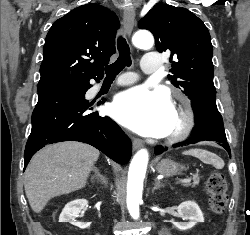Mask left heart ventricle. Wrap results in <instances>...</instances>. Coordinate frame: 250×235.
<instances>
[{
  "instance_id": "left-heart-ventricle-1",
  "label": "left heart ventricle",
  "mask_w": 250,
  "mask_h": 235,
  "mask_svg": "<svg viewBox=\"0 0 250 235\" xmlns=\"http://www.w3.org/2000/svg\"><path fill=\"white\" fill-rule=\"evenodd\" d=\"M180 120L176 112L171 117L170 127L166 135L173 133L179 126Z\"/></svg>"
}]
</instances>
